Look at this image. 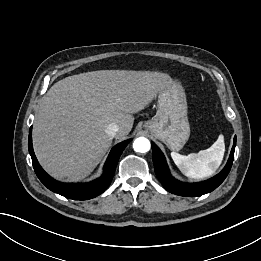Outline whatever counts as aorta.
I'll use <instances>...</instances> for the list:
<instances>
[{
  "label": "aorta",
  "instance_id": "aorta-1",
  "mask_svg": "<svg viewBox=\"0 0 261 261\" xmlns=\"http://www.w3.org/2000/svg\"><path fill=\"white\" fill-rule=\"evenodd\" d=\"M150 141L145 137H139L135 139L133 148L136 152L146 153L150 150Z\"/></svg>",
  "mask_w": 261,
  "mask_h": 261
}]
</instances>
